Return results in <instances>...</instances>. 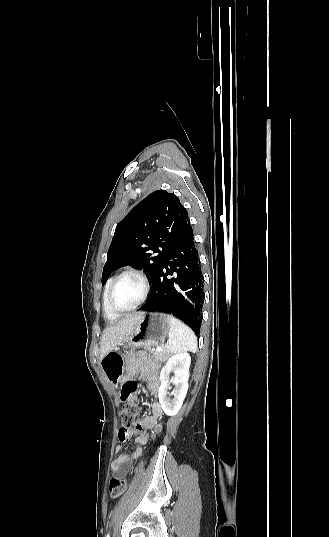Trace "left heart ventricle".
Listing matches in <instances>:
<instances>
[{
    "label": "left heart ventricle",
    "mask_w": 329,
    "mask_h": 537,
    "mask_svg": "<svg viewBox=\"0 0 329 537\" xmlns=\"http://www.w3.org/2000/svg\"><path fill=\"white\" fill-rule=\"evenodd\" d=\"M143 294V284L133 275L123 277L113 293V303L119 309H128L135 305Z\"/></svg>",
    "instance_id": "obj_1"
}]
</instances>
